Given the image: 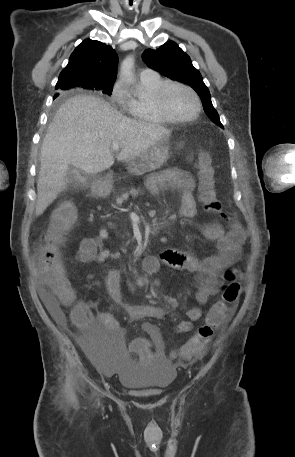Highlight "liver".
Wrapping results in <instances>:
<instances>
[{
  "label": "liver",
  "mask_w": 295,
  "mask_h": 457,
  "mask_svg": "<svg viewBox=\"0 0 295 457\" xmlns=\"http://www.w3.org/2000/svg\"><path fill=\"white\" fill-rule=\"evenodd\" d=\"M170 135L163 126L125 117L101 98L78 95L68 99L56 112L42 143L36 216L67 187L70 166L97 174L114 164L113 142L121 147L117 160L130 161Z\"/></svg>",
  "instance_id": "liver-1"
}]
</instances>
